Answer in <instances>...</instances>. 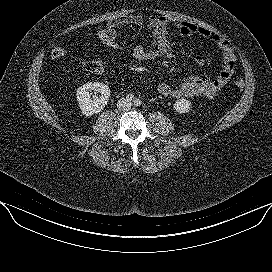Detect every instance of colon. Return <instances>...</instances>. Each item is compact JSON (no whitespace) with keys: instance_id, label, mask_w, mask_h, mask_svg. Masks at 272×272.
Segmentation results:
<instances>
[{"instance_id":"5ec220e1","label":"colon","mask_w":272,"mask_h":272,"mask_svg":"<svg viewBox=\"0 0 272 272\" xmlns=\"http://www.w3.org/2000/svg\"><path fill=\"white\" fill-rule=\"evenodd\" d=\"M96 38L98 42L106 47L114 48V49H123L124 44L122 43L119 35L113 34L105 29H102L96 33ZM66 50L62 47H55L51 51L52 59H60L65 56ZM83 68L93 74H100L104 69V65L100 60H90L84 63ZM152 80V76L150 74H143L139 77V81L141 82H150ZM235 86L237 89L242 90L244 88V82L242 80H237L235 82Z\"/></svg>"}]
</instances>
